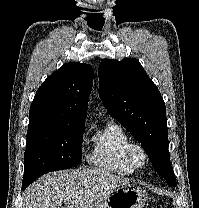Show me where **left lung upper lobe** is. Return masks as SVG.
I'll list each match as a JSON object with an SVG mask.
<instances>
[{"instance_id": "obj_1", "label": "left lung upper lobe", "mask_w": 199, "mask_h": 208, "mask_svg": "<svg viewBox=\"0 0 199 208\" xmlns=\"http://www.w3.org/2000/svg\"><path fill=\"white\" fill-rule=\"evenodd\" d=\"M99 96L115 117L142 145L157 173L176 183L168 151L166 108L156 85L138 60L103 59L98 69Z\"/></svg>"}]
</instances>
